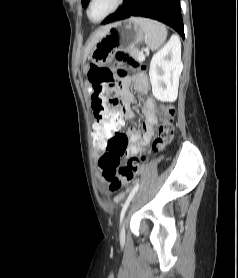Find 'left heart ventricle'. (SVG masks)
Instances as JSON below:
<instances>
[{"mask_svg": "<svg viewBox=\"0 0 238 278\" xmlns=\"http://www.w3.org/2000/svg\"><path fill=\"white\" fill-rule=\"evenodd\" d=\"M116 0H94L90 7V17L99 20L104 17L114 6Z\"/></svg>", "mask_w": 238, "mask_h": 278, "instance_id": "b2bd125f", "label": "left heart ventricle"}]
</instances>
